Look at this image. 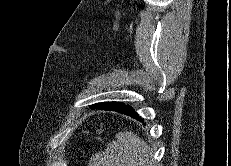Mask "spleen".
<instances>
[{
    "label": "spleen",
    "mask_w": 231,
    "mask_h": 166,
    "mask_svg": "<svg viewBox=\"0 0 231 166\" xmlns=\"http://www.w3.org/2000/svg\"><path fill=\"white\" fill-rule=\"evenodd\" d=\"M106 150L91 158L90 166H157L146 142L130 131H122Z\"/></svg>",
    "instance_id": "1"
}]
</instances>
